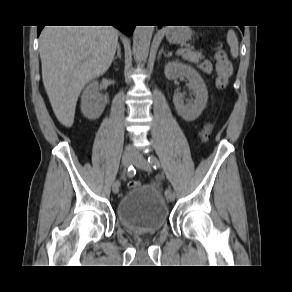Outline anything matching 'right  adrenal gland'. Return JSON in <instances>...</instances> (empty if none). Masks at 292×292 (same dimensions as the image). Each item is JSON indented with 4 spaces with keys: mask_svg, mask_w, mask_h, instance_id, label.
<instances>
[{
    "mask_svg": "<svg viewBox=\"0 0 292 292\" xmlns=\"http://www.w3.org/2000/svg\"><path fill=\"white\" fill-rule=\"evenodd\" d=\"M117 58L121 59V47L119 43L117 45V55L113 58V61H115Z\"/></svg>",
    "mask_w": 292,
    "mask_h": 292,
    "instance_id": "2a0ac1e0",
    "label": "right adrenal gland"
}]
</instances>
